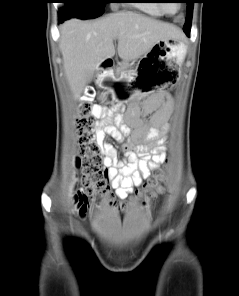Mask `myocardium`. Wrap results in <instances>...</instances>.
<instances>
[{
	"label": "myocardium",
	"instance_id": "1",
	"mask_svg": "<svg viewBox=\"0 0 239 296\" xmlns=\"http://www.w3.org/2000/svg\"><path fill=\"white\" fill-rule=\"evenodd\" d=\"M159 6H160L161 10H162L164 13H167V14H173V13H175V12L170 11V10L167 8V5H166L165 3H162L161 0H159ZM179 7H180V4L178 3V5H177V9H179Z\"/></svg>",
	"mask_w": 239,
	"mask_h": 296
}]
</instances>
